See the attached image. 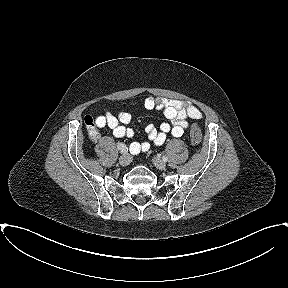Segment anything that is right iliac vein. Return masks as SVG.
Returning a JSON list of instances; mask_svg holds the SVG:
<instances>
[{"instance_id": "right-iliac-vein-1", "label": "right iliac vein", "mask_w": 288, "mask_h": 288, "mask_svg": "<svg viewBox=\"0 0 288 288\" xmlns=\"http://www.w3.org/2000/svg\"><path fill=\"white\" fill-rule=\"evenodd\" d=\"M131 162V156L129 154H123L119 157V164L122 166H127Z\"/></svg>"}]
</instances>
